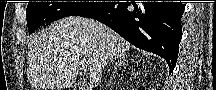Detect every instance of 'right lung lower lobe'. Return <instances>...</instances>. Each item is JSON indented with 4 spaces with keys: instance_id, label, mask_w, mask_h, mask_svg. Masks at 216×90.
<instances>
[{
    "instance_id": "obj_1",
    "label": "right lung lower lobe",
    "mask_w": 216,
    "mask_h": 90,
    "mask_svg": "<svg viewBox=\"0 0 216 90\" xmlns=\"http://www.w3.org/2000/svg\"><path fill=\"white\" fill-rule=\"evenodd\" d=\"M184 9L181 2H108L79 16L100 21L134 46L161 56L172 72Z\"/></svg>"
}]
</instances>
